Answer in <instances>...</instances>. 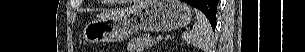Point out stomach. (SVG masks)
<instances>
[{"mask_svg":"<svg viewBox=\"0 0 305 52\" xmlns=\"http://www.w3.org/2000/svg\"><path fill=\"white\" fill-rule=\"evenodd\" d=\"M191 18L190 7L180 0H149L123 15L89 22L82 36L89 44L115 42L139 30L165 32L181 29L191 22Z\"/></svg>","mask_w":305,"mask_h":52,"instance_id":"stomach-1","label":"stomach"}]
</instances>
